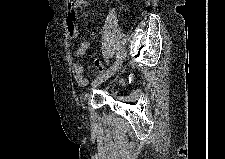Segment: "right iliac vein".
Returning a JSON list of instances; mask_svg holds the SVG:
<instances>
[{
  "mask_svg": "<svg viewBox=\"0 0 225 159\" xmlns=\"http://www.w3.org/2000/svg\"><path fill=\"white\" fill-rule=\"evenodd\" d=\"M125 57V53L122 52L119 56V58L116 60V62L103 74H100L95 81L92 84V89L98 87L99 85H101L103 82H105L106 80H108L111 76H113L119 69V67L121 66L123 60Z\"/></svg>",
  "mask_w": 225,
  "mask_h": 159,
  "instance_id": "1",
  "label": "right iliac vein"
}]
</instances>
